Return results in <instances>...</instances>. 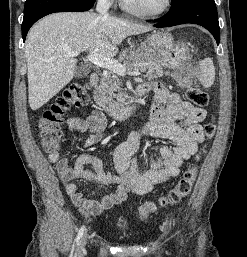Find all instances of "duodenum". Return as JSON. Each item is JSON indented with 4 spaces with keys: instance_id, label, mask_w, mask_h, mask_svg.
<instances>
[{
    "instance_id": "duodenum-1",
    "label": "duodenum",
    "mask_w": 247,
    "mask_h": 257,
    "mask_svg": "<svg viewBox=\"0 0 247 257\" xmlns=\"http://www.w3.org/2000/svg\"><path fill=\"white\" fill-rule=\"evenodd\" d=\"M99 81V74L96 72H93L90 74L89 77V83L91 86H95ZM146 92V88L144 87L143 84L139 85L136 88V91L132 97V99L121 106H117V107H111V106H106L104 104H102L100 101H98V105L100 106V108H102V110H104L106 112V114L116 120H124L127 119L129 117H131L137 110L138 108V101L139 98L142 96V94H144Z\"/></svg>"
}]
</instances>
